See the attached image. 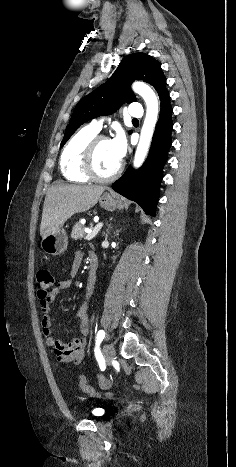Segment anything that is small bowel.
<instances>
[{
	"label": "small bowel",
	"instance_id": "small-bowel-1",
	"mask_svg": "<svg viewBox=\"0 0 236 467\" xmlns=\"http://www.w3.org/2000/svg\"><path fill=\"white\" fill-rule=\"evenodd\" d=\"M83 254L81 252L77 253L72 262L71 274L74 275L82 262ZM91 260L95 261V257L91 255ZM72 278H66L59 282L57 287L53 289L50 296L44 300H41L40 307L42 310V333L45 337L46 344L53 349V353L57 361L61 364L74 363L80 364L85 357V347L87 343V335L90 329V321L87 314V300L91 296L94 289V282L91 281L86 289V301L80 306L76 313V318L79 325V331L81 333L80 337L73 338L68 343L62 342L60 339L56 338L51 329V303L58 297V295L67 289H70L72 286Z\"/></svg>",
	"mask_w": 236,
	"mask_h": 467
}]
</instances>
